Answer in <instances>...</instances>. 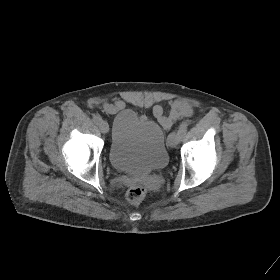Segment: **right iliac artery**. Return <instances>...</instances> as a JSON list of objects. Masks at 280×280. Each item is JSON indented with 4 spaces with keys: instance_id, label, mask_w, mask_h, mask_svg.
Segmentation results:
<instances>
[{
    "instance_id": "obj_1",
    "label": "right iliac artery",
    "mask_w": 280,
    "mask_h": 280,
    "mask_svg": "<svg viewBox=\"0 0 280 280\" xmlns=\"http://www.w3.org/2000/svg\"><path fill=\"white\" fill-rule=\"evenodd\" d=\"M93 121H94V123L95 124H100V122L102 121V117L99 115V114H95L94 116H93Z\"/></svg>"
}]
</instances>
